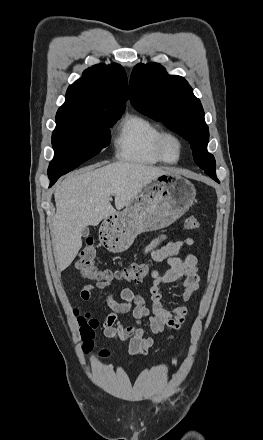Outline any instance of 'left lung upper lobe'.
Instances as JSON below:
<instances>
[{
  "label": "left lung upper lobe",
  "mask_w": 263,
  "mask_h": 440,
  "mask_svg": "<svg viewBox=\"0 0 263 440\" xmlns=\"http://www.w3.org/2000/svg\"><path fill=\"white\" fill-rule=\"evenodd\" d=\"M130 100L139 112L162 121L188 140L195 163L217 179L214 156L207 151L209 130L204 111L183 77L168 75L157 63L138 64L130 78Z\"/></svg>",
  "instance_id": "5c2ea615"
}]
</instances>
